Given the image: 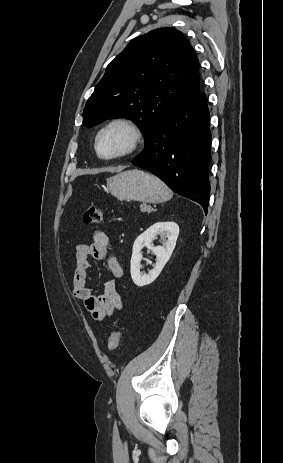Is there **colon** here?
Segmentation results:
<instances>
[{"label":"colon","instance_id":"5ec220e1","mask_svg":"<svg viewBox=\"0 0 283 463\" xmlns=\"http://www.w3.org/2000/svg\"><path fill=\"white\" fill-rule=\"evenodd\" d=\"M103 210L95 205H90L86 208L82 215V220L86 224H98L103 221ZM121 340V333L113 331L108 339V350L113 352L119 346Z\"/></svg>","mask_w":283,"mask_h":463}]
</instances>
